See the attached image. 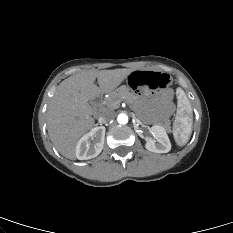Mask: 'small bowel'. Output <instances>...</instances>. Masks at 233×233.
Listing matches in <instances>:
<instances>
[{"instance_id": "small-bowel-1", "label": "small bowel", "mask_w": 233, "mask_h": 233, "mask_svg": "<svg viewBox=\"0 0 233 233\" xmlns=\"http://www.w3.org/2000/svg\"><path fill=\"white\" fill-rule=\"evenodd\" d=\"M158 108L160 112L167 116L172 112L173 105H172V93L166 92L162 97L157 100Z\"/></svg>"}]
</instances>
